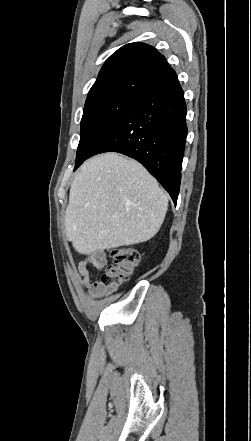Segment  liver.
I'll list each match as a JSON object with an SVG mask.
<instances>
[{
	"label": "liver",
	"mask_w": 251,
	"mask_h": 441,
	"mask_svg": "<svg viewBox=\"0 0 251 441\" xmlns=\"http://www.w3.org/2000/svg\"><path fill=\"white\" fill-rule=\"evenodd\" d=\"M167 208L168 196L140 163L114 152L97 155L71 184L66 237L80 254L146 242Z\"/></svg>",
	"instance_id": "1"
}]
</instances>
